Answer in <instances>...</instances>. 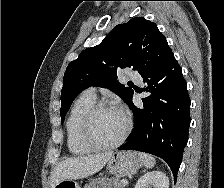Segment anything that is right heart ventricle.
<instances>
[{"label": "right heart ventricle", "instance_id": "1", "mask_svg": "<svg viewBox=\"0 0 224 188\" xmlns=\"http://www.w3.org/2000/svg\"><path fill=\"white\" fill-rule=\"evenodd\" d=\"M96 104L95 97L81 94L74 102L66 121V140L69 151L74 155H84L92 150L81 139L80 128L86 113Z\"/></svg>", "mask_w": 224, "mask_h": 188}]
</instances>
